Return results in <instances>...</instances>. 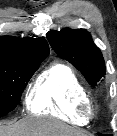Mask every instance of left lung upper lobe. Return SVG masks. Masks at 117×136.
I'll use <instances>...</instances> for the list:
<instances>
[{
	"instance_id": "1",
	"label": "left lung upper lobe",
	"mask_w": 117,
	"mask_h": 136,
	"mask_svg": "<svg viewBox=\"0 0 117 136\" xmlns=\"http://www.w3.org/2000/svg\"><path fill=\"white\" fill-rule=\"evenodd\" d=\"M47 39L54 51L72 63L91 86L103 81L106 73L102 53L84 29L49 31Z\"/></svg>"
}]
</instances>
